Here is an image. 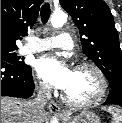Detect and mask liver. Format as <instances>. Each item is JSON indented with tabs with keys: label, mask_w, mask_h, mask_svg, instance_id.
<instances>
[{
	"label": "liver",
	"mask_w": 122,
	"mask_h": 123,
	"mask_svg": "<svg viewBox=\"0 0 122 123\" xmlns=\"http://www.w3.org/2000/svg\"><path fill=\"white\" fill-rule=\"evenodd\" d=\"M47 115L38 116L32 101L1 97V123H46Z\"/></svg>",
	"instance_id": "6515ba94"
}]
</instances>
